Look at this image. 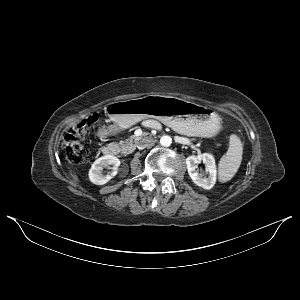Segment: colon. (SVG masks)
<instances>
[{
    "mask_svg": "<svg viewBox=\"0 0 300 300\" xmlns=\"http://www.w3.org/2000/svg\"><path fill=\"white\" fill-rule=\"evenodd\" d=\"M95 121L96 116L92 115L68 128L64 137V146L66 158L70 163L80 164L88 156L89 150L83 143V139Z\"/></svg>",
    "mask_w": 300,
    "mask_h": 300,
    "instance_id": "1",
    "label": "colon"
}]
</instances>
